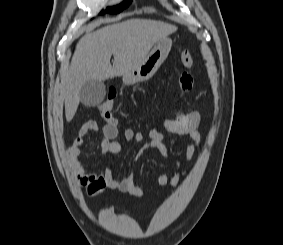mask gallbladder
<instances>
[{"instance_id":"1","label":"gallbladder","mask_w":283,"mask_h":245,"mask_svg":"<svg viewBox=\"0 0 283 245\" xmlns=\"http://www.w3.org/2000/svg\"><path fill=\"white\" fill-rule=\"evenodd\" d=\"M105 94L106 89L102 81L89 80L82 85L79 96L83 105L94 107L104 100Z\"/></svg>"}]
</instances>
